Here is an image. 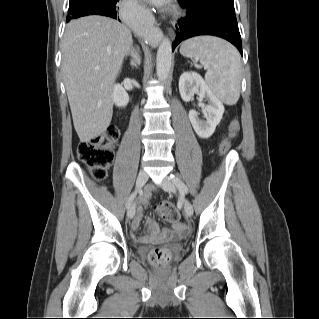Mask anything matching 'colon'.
I'll list each match as a JSON object with an SVG mask.
<instances>
[{"label": "colon", "instance_id": "colon-1", "mask_svg": "<svg viewBox=\"0 0 319 319\" xmlns=\"http://www.w3.org/2000/svg\"><path fill=\"white\" fill-rule=\"evenodd\" d=\"M240 130V124L237 119H232L229 124L228 133L222 140L219 151L226 152L237 133ZM119 137V130L114 126H109L102 134L81 142L78 145L77 155L81 161L87 164L91 175L96 180H103L106 176L107 168L114 159V146ZM159 217L167 221H177L179 213L172 202H163L156 206ZM171 260V254L163 248H155L149 253V262L158 267L164 268Z\"/></svg>", "mask_w": 319, "mask_h": 319}]
</instances>
